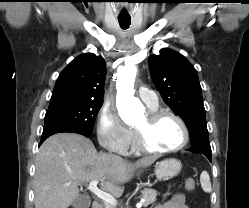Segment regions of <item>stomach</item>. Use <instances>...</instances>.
<instances>
[{"label":"stomach","instance_id":"obj_1","mask_svg":"<svg viewBox=\"0 0 249 208\" xmlns=\"http://www.w3.org/2000/svg\"><path fill=\"white\" fill-rule=\"evenodd\" d=\"M182 168V164L175 158L165 159L156 163L155 175L160 180H169L177 176Z\"/></svg>","mask_w":249,"mask_h":208}]
</instances>
